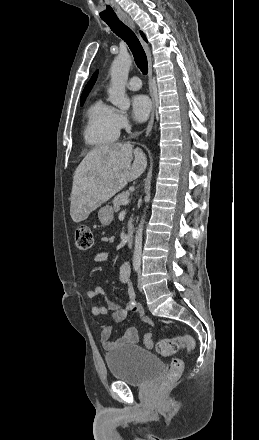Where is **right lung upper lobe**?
<instances>
[{"label": "right lung upper lobe", "mask_w": 259, "mask_h": 440, "mask_svg": "<svg viewBox=\"0 0 259 440\" xmlns=\"http://www.w3.org/2000/svg\"><path fill=\"white\" fill-rule=\"evenodd\" d=\"M141 35H142V37L146 40V38H145V36H144V34H143L142 32H141ZM97 75H98V71H96V72L93 74V76L91 77L90 81H89V82L87 83V85L85 86V88H84V90H83V92H82V95H81V99L87 97V95L89 94V92H90L92 86L94 85V83H95V81H96V79H97Z\"/></svg>", "instance_id": "cb5924a9"}]
</instances>
